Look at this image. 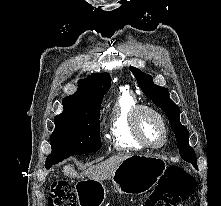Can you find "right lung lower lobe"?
<instances>
[{
  "instance_id": "98d812e1",
  "label": "right lung lower lobe",
  "mask_w": 221,
  "mask_h": 206,
  "mask_svg": "<svg viewBox=\"0 0 221 206\" xmlns=\"http://www.w3.org/2000/svg\"><path fill=\"white\" fill-rule=\"evenodd\" d=\"M51 166H46L47 169H49Z\"/></svg>"
}]
</instances>
